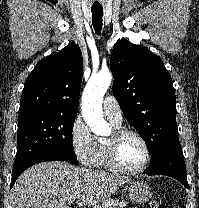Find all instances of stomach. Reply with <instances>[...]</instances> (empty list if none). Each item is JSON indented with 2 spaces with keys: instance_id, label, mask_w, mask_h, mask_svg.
<instances>
[{
  "instance_id": "obj_1",
  "label": "stomach",
  "mask_w": 199,
  "mask_h": 208,
  "mask_svg": "<svg viewBox=\"0 0 199 208\" xmlns=\"http://www.w3.org/2000/svg\"><path fill=\"white\" fill-rule=\"evenodd\" d=\"M129 197L136 203H144L152 197V191L146 183L133 181L128 185Z\"/></svg>"
}]
</instances>
